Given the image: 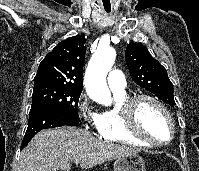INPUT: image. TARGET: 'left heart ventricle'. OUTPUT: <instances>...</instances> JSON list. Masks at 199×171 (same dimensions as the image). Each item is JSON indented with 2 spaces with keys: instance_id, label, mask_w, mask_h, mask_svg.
<instances>
[{
  "instance_id": "obj_1",
  "label": "left heart ventricle",
  "mask_w": 199,
  "mask_h": 171,
  "mask_svg": "<svg viewBox=\"0 0 199 171\" xmlns=\"http://www.w3.org/2000/svg\"><path fill=\"white\" fill-rule=\"evenodd\" d=\"M138 124L141 130L156 141L170 137V125L163 111L150 101H142L138 108Z\"/></svg>"
}]
</instances>
